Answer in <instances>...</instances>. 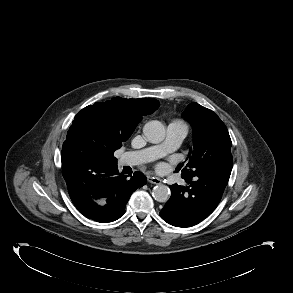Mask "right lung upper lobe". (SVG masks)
<instances>
[{"mask_svg":"<svg viewBox=\"0 0 293 293\" xmlns=\"http://www.w3.org/2000/svg\"><path fill=\"white\" fill-rule=\"evenodd\" d=\"M159 105V101L153 98L116 97L82 109L75 116L63 143L61 161L64 179L67 181L94 163L86 161L91 151L106 144L119 149L142 117L153 113ZM95 162L115 165L110 157Z\"/></svg>","mask_w":293,"mask_h":293,"instance_id":"cb5924a9","label":"right lung upper lobe"}]
</instances>
